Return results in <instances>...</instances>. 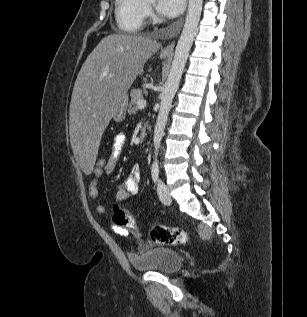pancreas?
I'll use <instances>...</instances> for the list:
<instances>
[{
	"instance_id": "cf45deb5",
	"label": "pancreas",
	"mask_w": 307,
	"mask_h": 317,
	"mask_svg": "<svg viewBox=\"0 0 307 317\" xmlns=\"http://www.w3.org/2000/svg\"><path fill=\"white\" fill-rule=\"evenodd\" d=\"M131 100L127 103L126 108L129 114H134L138 110L137 102L142 99V91L140 89H132L130 92Z\"/></svg>"
}]
</instances>
